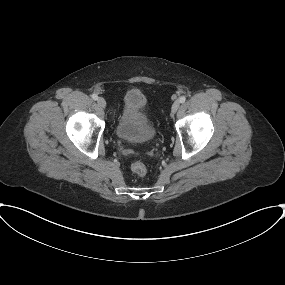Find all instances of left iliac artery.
<instances>
[{
	"label": "left iliac artery",
	"instance_id": "1",
	"mask_svg": "<svg viewBox=\"0 0 285 285\" xmlns=\"http://www.w3.org/2000/svg\"><path fill=\"white\" fill-rule=\"evenodd\" d=\"M180 103H184L186 101V97L185 96H181L179 98Z\"/></svg>",
	"mask_w": 285,
	"mask_h": 285
}]
</instances>
